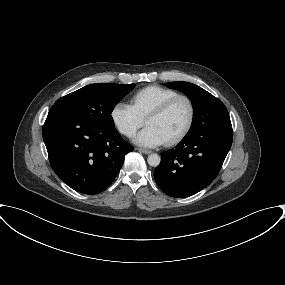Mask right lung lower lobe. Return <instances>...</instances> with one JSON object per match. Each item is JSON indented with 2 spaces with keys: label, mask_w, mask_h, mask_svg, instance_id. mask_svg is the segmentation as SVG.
<instances>
[{
  "label": "right lung lower lobe",
  "mask_w": 285,
  "mask_h": 285,
  "mask_svg": "<svg viewBox=\"0 0 285 285\" xmlns=\"http://www.w3.org/2000/svg\"><path fill=\"white\" fill-rule=\"evenodd\" d=\"M42 135L54 172L84 194L105 190L133 150L115 128L98 127L63 109H50Z\"/></svg>",
  "instance_id": "1"
}]
</instances>
